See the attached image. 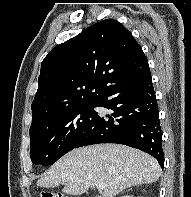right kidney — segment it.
<instances>
[{
  "label": "right kidney",
  "instance_id": "1",
  "mask_svg": "<svg viewBox=\"0 0 191 197\" xmlns=\"http://www.w3.org/2000/svg\"><path fill=\"white\" fill-rule=\"evenodd\" d=\"M122 197H133V196L124 195V196H122Z\"/></svg>",
  "mask_w": 191,
  "mask_h": 197
}]
</instances>
